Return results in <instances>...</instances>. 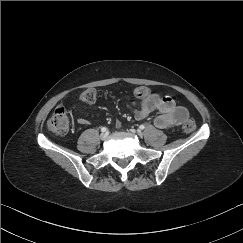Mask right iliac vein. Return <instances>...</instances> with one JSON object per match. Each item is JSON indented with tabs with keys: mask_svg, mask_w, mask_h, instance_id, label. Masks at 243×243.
Returning <instances> with one entry per match:
<instances>
[{
	"mask_svg": "<svg viewBox=\"0 0 243 243\" xmlns=\"http://www.w3.org/2000/svg\"><path fill=\"white\" fill-rule=\"evenodd\" d=\"M107 134L106 133H102L101 135H100V139L101 140H105L106 138H107Z\"/></svg>",
	"mask_w": 243,
	"mask_h": 243,
	"instance_id": "1",
	"label": "right iliac vein"
}]
</instances>
